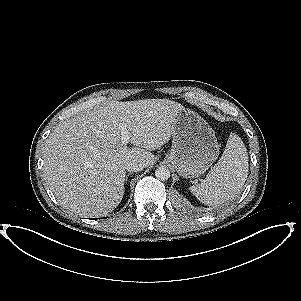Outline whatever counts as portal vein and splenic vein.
<instances>
[{"label":"portal vein and splenic vein","instance_id":"18ae733b","mask_svg":"<svg viewBox=\"0 0 301 301\" xmlns=\"http://www.w3.org/2000/svg\"><path fill=\"white\" fill-rule=\"evenodd\" d=\"M128 142H129V135L123 134V136L121 137V144L123 146H127Z\"/></svg>","mask_w":301,"mask_h":301}]
</instances>
